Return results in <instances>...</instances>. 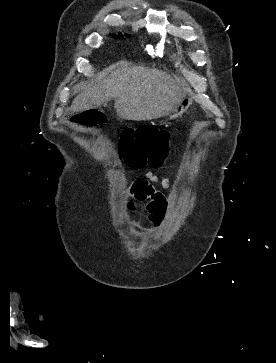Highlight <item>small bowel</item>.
Wrapping results in <instances>:
<instances>
[{"mask_svg": "<svg viewBox=\"0 0 276 363\" xmlns=\"http://www.w3.org/2000/svg\"><path fill=\"white\" fill-rule=\"evenodd\" d=\"M160 184L164 190L171 189L169 177L160 178L151 171H147L143 177L137 178L131 188L130 197L137 202H148V213L153 219L166 209V197L164 193L155 187Z\"/></svg>", "mask_w": 276, "mask_h": 363, "instance_id": "obj_1", "label": "small bowel"}]
</instances>
